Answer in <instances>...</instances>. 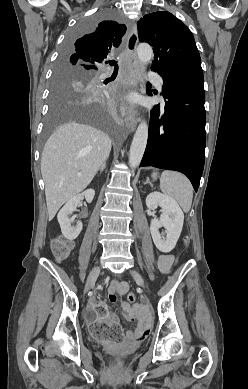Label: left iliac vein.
Here are the masks:
<instances>
[{"label":"left iliac vein","mask_w":248,"mask_h":389,"mask_svg":"<svg viewBox=\"0 0 248 389\" xmlns=\"http://www.w3.org/2000/svg\"><path fill=\"white\" fill-rule=\"evenodd\" d=\"M130 273L133 276V278L135 279V281L137 282V284L143 288L145 293H147V288H146V285H145V282H144V279L142 278V276L135 270H131Z\"/></svg>","instance_id":"4c4485c4"}]
</instances>
